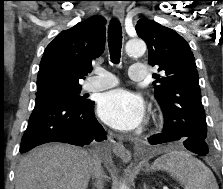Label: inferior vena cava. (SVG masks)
Instances as JSON below:
<instances>
[{
  "mask_svg": "<svg viewBox=\"0 0 223 189\" xmlns=\"http://www.w3.org/2000/svg\"><path fill=\"white\" fill-rule=\"evenodd\" d=\"M93 162H94V166H93V170H92V176L94 178H96L97 183L99 185H101V187H103L102 186V178L104 177V175H103V170L101 167V160L99 159L97 154L93 155Z\"/></svg>",
  "mask_w": 223,
  "mask_h": 189,
  "instance_id": "inferior-vena-cava-1",
  "label": "inferior vena cava"
}]
</instances>
